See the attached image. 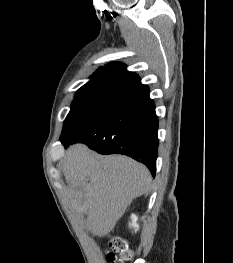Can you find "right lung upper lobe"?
I'll use <instances>...</instances> for the list:
<instances>
[{"label":"right lung upper lobe","mask_w":233,"mask_h":263,"mask_svg":"<svg viewBox=\"0 0 233 263\" xmlns=\"http://www.w3.org/2000/svg\"><path fill=\"white\" fill-rule=\"evenodd\" d=\"M142 85L137 74L126 70L122 63H111L101 67L91 76V80L82 86L76 95L104 94L119 96Z\"/></svg>","instance_id":"obj_1"}]
</instances>
